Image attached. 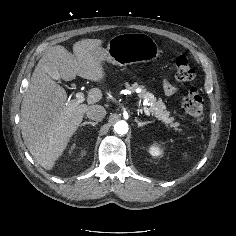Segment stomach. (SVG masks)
Wrapping results in <instances>:
<instances>
[{
    "label": "stomach",
    "instance_id": "0dacf381",
    "mask_svg": "<svg viewBox=\"0 0 236 236\" xmlns=\"http://www.w3.org/2000/svg\"><path fill=\"white\" fill-rule=\"evenodd\" d=\"M103 61L127 66L156 60L161 50L155 40L144 33H123L112 37L107 48L98 49Z\"/></svg>",
    "mask_w": 236,
    "mask_h": 236
}]
</instances>
